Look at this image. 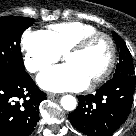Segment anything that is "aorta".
<instances>
[{"instance_id":"obj_1","label":"aorta","mask_w":136,"mask_h":136,"mask_svg":"<svg viewBox=\"0 0 136 136\" xmlns=\"http://www.w3.org/2000/svg\"><path fill=\"white\" fill-rule=\"evenodd\" d=\"M76 99L71 95H65L61 98V106L67 110L72 111L76 108Z\"/></svg>"}]
</instances>
